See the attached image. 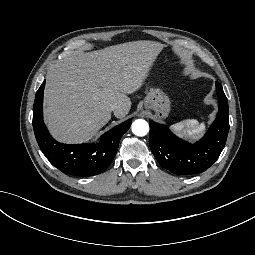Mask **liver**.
<instances>
[{
  "label": "liver",
  "instance_id": "obj_1",
  "mask_svg": "<svg viewBox=\"0 0 255 255\" xmlns=\"http://www.w3.org/2000/svg\"><path fill=\"white\" fill-rule=\"evenodd\" d=\"M164 45L140 40L79 53L52 65L46 76L44 120L52 136L63 143L91 139L110 119L131 108L126 94L137 91Z\"/></svg>",
  "mask_w": 255,
  "mask_h": 255
}]
</instances>
